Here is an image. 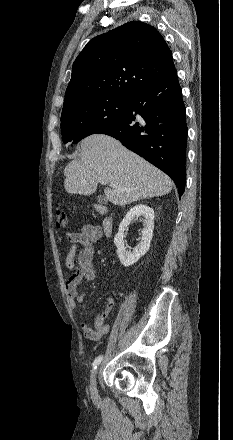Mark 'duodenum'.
<instances>
[{
  "label": "duodenum",
  "instance_id": "410a0bca",
  "mask_svg": "<svg viewBox=\"0 0 233 440\" xmlns=\"http://www.w3.org/2000/svg\"><path fill=\"white\" fill-rule=\"evenodd\" d=\"M113 220L112 217H107L102 224L103 232L106 236H108L112 232Z\"/></svg>",
  "mask_w": 233,
  "mask_h": 440
}]
</instances>
